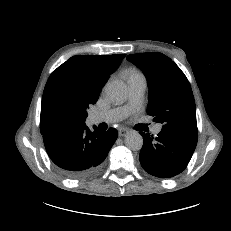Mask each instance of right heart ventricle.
I'll use <instances>...</instances> for the list:
<instances>
[{
  "instance_id": "right-heart-ventricle-1",
  "label": "right heart ventricle",
  "mask_w": 231,
  "mask_h": 231,
  "mask_svg": "<svg viewBox=\"0 0 231 231\" xmlns=\"http://www.w3.org/2000/svg\"><path fill=\"white\" fill-rule=\"evenodd\" d=\"M124 76L127 79V82H135L140 80H145L143 74L137 69H128L124 72Z\"/></svg>"
}]
</instances>
